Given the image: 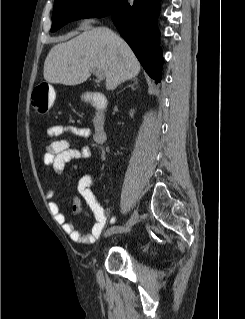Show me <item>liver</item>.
Instances as JSON below:
<instances>
[{
    "label": "liver",
    "mask_w": 245,
    "mask_h": 319,
    "mask_svg": "<svg viewBox=\"0 0 245 319\" xmlns=\"http://www.w3.org/2000/svg\"><path fill=\"white\" fill-rule=\"evenodd\" d=\"M140 63L129 45L107 27L84 31L77 37L54 45L44 63V79L49 83L74 86L85 82L93 69L106 77V89L136 77Z\"/></svg>",
    "instance_id": "liver-1"
}]
</instances>
